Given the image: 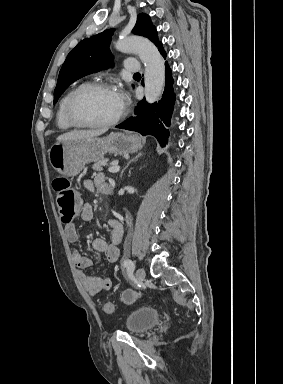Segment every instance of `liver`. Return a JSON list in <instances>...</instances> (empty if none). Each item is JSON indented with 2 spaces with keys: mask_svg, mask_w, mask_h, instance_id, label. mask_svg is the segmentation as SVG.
<instances>
[{
  "mask_svg": "<svg viewBox=\"0 0 283 384\" xmlns=\"http://www.w3.org/2000/svg\"><path fill=\"white\" fill-rule=\"evenodd\" d=\"M106 130H73V132H67V134H62L58 136L56 140L58 142H67V140H84V138H96V136H101L105 134Z\"/></svg>",
  "mask_w": 283,
  "mask_h": 384,
  "instance_id": "obj_1",
  "label": "liver"
}]
</instances>
